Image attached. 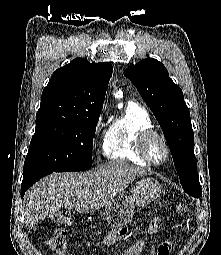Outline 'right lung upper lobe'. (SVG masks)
<instances>
[{
  "label": "right lung upper lobe",
  "mask_w": 221,
  "mask_h": 255,
  "mask_svg": "<svg viewBox=\"0 0 221 255\" xmlns=\"http://www.w3.org/2000/svg\"><path fill=\"white\" fill-rule=\"evenodd\" d=\"M112 70L110 63L83 58L57 69L43 90L37 116L82 117L101 111Z\"/></svg>",
  "instance_id": "obj_1"
}]
</instances>
